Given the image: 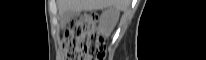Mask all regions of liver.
Masks as SVG:
<instances>
[{
    "label": "liver",
    "instance_id": "1",
    "mask_svg": "<svg viewBox=\"0 0 206 60\" xmlns=\"http://www.w3.org/2000/svg\"><path fill=\"white\" fill-rule=\"evenodd\" d=\"M126 0H58L59 13L66 11H93L106 7H114L117 11L124 9ZM118 17L110 25L111 30L117 23Z\"/></svg>",
    "mask_w": 206,
    "mask_h": 60
}]
</instances>
